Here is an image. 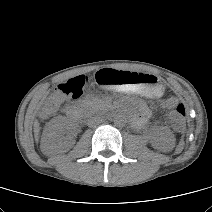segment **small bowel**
I'll return each mask as SVG.
<instances>
[{"mask_svg": "<svg viewBox=\"0 0 212 212\" xmlns=\"http://www.w3.org/2000/svg\"><path fill=\"white\" fill-rule=\"evenodd\" d=\"M148 114V111L145 107L142 108V115L145 116Z\"/></svg>", "mask_w": 212, "mask_h": 212, "instance_id": "obj_1", "label": "small bowel"}]
</instances>
